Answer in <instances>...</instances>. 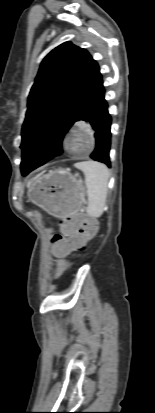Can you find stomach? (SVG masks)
<instances>
[{"instance_id":"obj_1","label":"stomach","mask_w":155,"mask_h":413,"mask_svg":"<svg viewBox=\"0 0 155 413\" xmlns=\"http://www.w3.org/2000/svg\"><path fill=\"white\" fill-rule=\"evenodd\" d=\"M30 199L55 217L79 211L85 203L86 187L65 169L51 171L29 185Z\"/></svg>"}]
</instances>
